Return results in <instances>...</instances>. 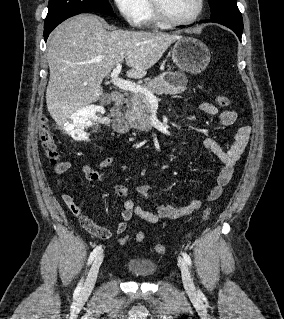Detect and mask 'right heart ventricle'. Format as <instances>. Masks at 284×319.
<instances>
[{
  "mask_svg": "<svg viewBox=\"0 0 284 319\" xmlns=\"http://www.w3.org/2000/svg\"><path fill=\"white\" fill-rule=\"evenodd\" d=\"M160 22L156 19V17L154 16L150 1H147V11L146 14L144 16V20L143 23L146 26H151V25H157Z\"/></svg>",
  "mask_w": 284,
  "mask_h": 319,
  "instance_id": "1",
  "label": "right heart ventricle"
}]
</instances>
